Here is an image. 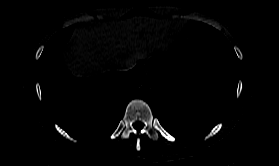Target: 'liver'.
<instances>
[{
  "mask_svg": "<svg viewBox=\"0 0 279 166\" xmlns=\"http://www.w3.org/2000/svg\"><path fill=\"white\" fill-rule=\"evenodd\" d=\"M126 29V32L128 33V32H130V31H132L134 34L135 33H138L139 31H143L146 35L148 34H151V32H154L155 30L157 31V29L159 28V24L157 23V22H155V21H153V20H151V19H147V18H139V19H134V20H131V21H129V22H127L124 26H123V29ZM133 34V35H134ZM105 35L104 33H100V32H98V31H96V30H92V31H89V40L91 41H95L94 43L96 44L98 41L100 42L104 37L103 36ZM128 35V34H127ZM130 35V34H129ZM103 38H102V37ZM106 36V35H105ZM101 37L102 39L100 40L99 38ZM99 39V40H98ZM86 40V39H85ZM88 40V39H87ZM98 40V41H97ZM104 40V39H103ZM102 40V41H103ZM90 41H83V42H86L87 44L89 43H91ZM92 42V43H93ZM98 42V43H99ZM85 43V44H86ZM91 43V44H92ZM93 43V44H94ZM97 43V44H98ZM84 44V43H83ZM94 44V45H95ZM96 44V45H97ZM100 44V43H99ZM93 45V46H94ZM95 45V46H96ZM86 46V45H85ZM89 48L91 47L92 48V45H87Z\"/></svg>",
  "mask_w": 279,
  "mask_h": 166,
  "instance_id": "1",
  "label": "liver"
}]
</instances>
